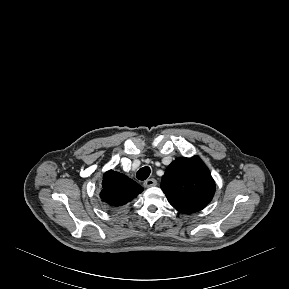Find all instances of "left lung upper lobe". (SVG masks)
Wrapping results in <instances>:
<instances>
[{
	"instance_id": "obj_1",
	"label": "left lung upper lobe",
	"mask_w": 289,
	"mask_h": 289,
	"mask_svg": "<svg viewBox=\"0 0 289 289\" xmlns=\"http://www.w3.org/2000/svg\"><path fill=\"white\" fill-rule=\"evenodd\" d=\"M161 188L174 208L181 213H192L212 200L215 182L199 157H183L167 167Z\"/></svg>"
}]
</instances>
